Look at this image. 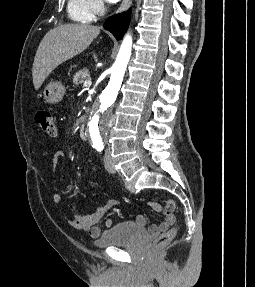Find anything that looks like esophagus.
Returning <instances> with one entry per match:
<instances>
[{"instance_id": "1", "label": "esophagus", "mask_w": 255, "mask_h": 287, "mask_svg": "<svg viewBox=\"0 0 255 287\" xmlns=\"http://www.w3.org/2000/svg\"><path fill=\"white\" fill-rule=\"evenodd\" d=\"M131 2L132 0H123L120 5V8L118 9V13L123 12L124 10H127L130 7Z\"/></svg>"}]
</instances>
